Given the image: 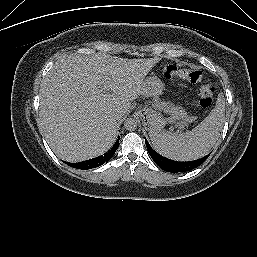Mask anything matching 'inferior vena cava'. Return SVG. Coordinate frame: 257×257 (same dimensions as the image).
I'll use <instances>...</instances> for the list:
<instances>
[{"label":"inferior vena cava","mask_w":257,"mask_h":257,"mask_svg":"<svg viewBox=\"0 0 257 257\" xmlns=\"http://www.w3.org/2000/svg\"><path fill=\"white\" fill-rule=\"evenodd\" d=\"M114 121H120L121 117L118 114L113 116Z\"/></svg>","instance_id":"602c4592"}]
</instances>
